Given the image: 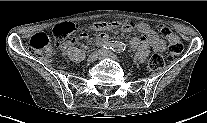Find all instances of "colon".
I'll return each instance as SVG.
<instances>
[{"instance_id":"obj_1","label":"colon","mask_w":207,"mask_h":123,"mask_svg":"<svg viewBox=\"0 0 207 123\" xmlns=\"http://www.w3.org/2000/svg\"><path fill=\"white\" fill-rule=\"evenodd\" d=\"M162 37L168 41V53L167 60H171L174 57L179 56L184 51V45L181 40L173 33V31L166 26H160L158 28ZM75 32V26L70 22H62L56 25L53 29L55 37L61 42V44L69 43L75 40L73 36ZM32 49L37 53L46 57L48 60H52V49L50 46V36L47 31H41L34 34L29 42ZM165 63V58L161 54H154L151 56L148 62V68L151 71L160 70Z\"/></svg>"}]
</instances>
